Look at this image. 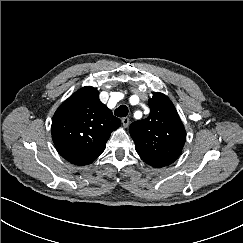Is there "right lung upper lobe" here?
I'll return each instance as SVG.
<instances>
[{
    "label": "right lung upper lobe",
    "mask_w": 243,
    "mask_h": 243,
    "mask_svg": "<svg viewBox=\"0 0 243 243\" xmlns=\"http://www.w3.org/2000/svg\"><path fill=\"white\" fill-rule=\"evenodd\" d=\"M121 121L100 102L97 89L86 86L76 91L56 110L52 139L59 154L72 164L92 163L106 147Z\"/></svg>",
    "instance_id": "1"
}]
</instances>
